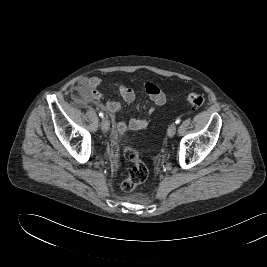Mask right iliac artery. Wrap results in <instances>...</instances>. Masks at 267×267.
<instances>
[{
    "label": "right iliac artery",
    "instance_id": "1",
    "mask_svg": "<svg viewBox=\"0 0 267 267\" xmlns=\"http://www.w3.org/2000/svg\"><path fill=\"white\" fill-rule=\"evenodd\" d=\"M99 116H100L101 118H103V117H104L103 112H100V113H99Z\"/></svg>",
    "mask_w": 267,
    "mask_h": 267
}]
</instances>
